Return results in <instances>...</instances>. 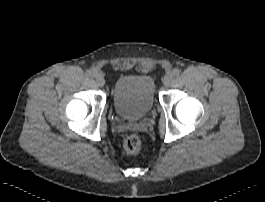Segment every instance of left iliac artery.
I'll use <instances>...</instances> for the list:
<instances>
[{
    "label": "left iliac artery",
    "instance_id": "left-iliac-artery-1",
    "mask_svg": "<svg viewBox=\"0 0 265 202\" xmlns=\"http://www.w3.org/2000/svg\"><path fill=\"white\" fill-rule=\"evenodd\" d=\"M180 69H178V68H175V69H173V74L175 75V76H178L179 74H180Z\"/></svg>",
    "mask_w": 265,
    "mask_h": 202
}]
</instances>
